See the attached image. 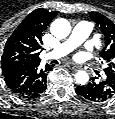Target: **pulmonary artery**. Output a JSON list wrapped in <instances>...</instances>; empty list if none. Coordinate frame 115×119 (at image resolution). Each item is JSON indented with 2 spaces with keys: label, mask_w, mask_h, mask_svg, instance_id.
Masks as SVG:
<instances>
[{
  "label": "pulmonary artery",
  "mask_w": 115,
  "mask_h": 119,
  "mask_svg": "<svg viewBox=\"0 0 115 119\" xmlns=\"http://www.w3.org/2000/svg\"><path fill=\"white\" fill-rule=\"evenodd\" d=\"M90 31H91L90 23L88 22L78 23L73 29L70 37L56 47L54 55L56 57H62L72 52L85 42V40L88 38L90 34Z\"/></svg>",
  "instance_id": "obj_1"
}]
</instances>
